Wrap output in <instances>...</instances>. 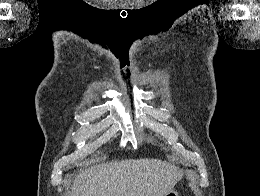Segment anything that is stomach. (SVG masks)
Returning <instances> with one entry per match:
<instances>
[{"label": "stomach", "instance_id": "0dacf381", "mask_svg": "<svg viewBox=\"0 0 260 196\" xmlns=\"http://www.w3.org/2000/svg\"><path fill=\"white\" fill-rule=\"evenodd\" d=\"M161 196H180V191H170V193H161Z\"/></svg>", "mask_w": 260, "mask_h": 196}]
</instances>
